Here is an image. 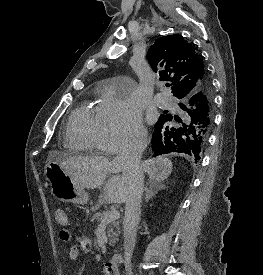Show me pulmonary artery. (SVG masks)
Listing matches in <instances>:
<instances>
[{"label": "pulmonary artery", "instance_id": "1", "mask_svg": "<svg viewBox=\"0 0 263 275\" xmlns=\"http://www.w3.org/2000/svg\"><path fill=\"white\" fill-rule=\"evenodd\" d=\"M155 100L156 103L162 108L172 109L176 107L174 99L166 93L157 94Z\"/></svg>", "mask_w": 263, "mask_h": 275}]
</instances>
